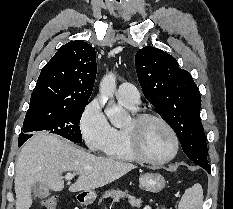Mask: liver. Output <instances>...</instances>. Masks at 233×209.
I'll return each instance as SVG.
<instances>
[{"instance_id":"obj_1","label":"liver","mask_w":233,"mask_h":209,"mask_svg":"<svg viewBox=\"0 0 233 209\" xmlns=\"http://www.w3.org/2000/svg\"><path fill=\"white\" fill-rule=\"evenodd\" d=\"M136 166L112 158L98 157L77 148L56 135L40 133L22 147L16 161L14 186L16 209H29L31 190L36 183L53 191L64 188L63 172H75L78 179L70 192L92 191L105 186Z\"/></svg>"}]
</instances>
